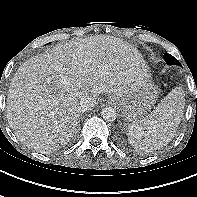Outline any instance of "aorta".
I'll return each mask as SVG.
<instances>
[{"label":"aorta","mask_w":197,"mask_h":197,"mask_svg":"<svg viewBox=\"0 0 197 197\" xmlns=\"http://www.w3.org/2000/svg\"><path fill=\"white\" fill-rule=\"evenodd\" d=\"M101 116L104 120L108 121V122H113L116 120L117 118V113L116 110L112 107H105L102 110Z\"/></svg>","instance_id":"obj_1"}]
</instances>
